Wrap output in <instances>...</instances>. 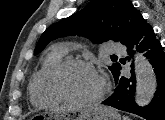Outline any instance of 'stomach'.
<instances>
[{
	"label": "stomach",
	"mask_w": 165,
	"mask_h": 120,
	"mask_svg": "<svg viewBox=\"0 0 165 120\" xmlns=\"http://www.w3.org/2000/svg\"><path fill=\"white\" fill-rule=\"evenodd\" d=\"M47 120H121L120 114L112 107L102 105H91L65 111H48L31 117Z\"/></svg>",
	"instance_id": "1"
}]
</instances>
